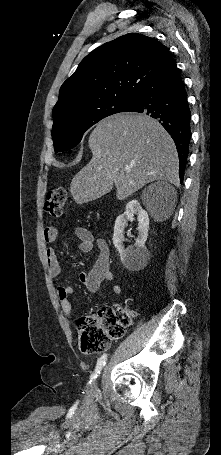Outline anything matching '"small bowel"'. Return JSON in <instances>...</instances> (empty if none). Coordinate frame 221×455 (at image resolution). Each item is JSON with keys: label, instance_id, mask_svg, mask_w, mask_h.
<instances>
[{"label": "small bowel", "instance_id": "1", "mask_svg": "<svg viewBox=\"0 0 221 455\" xmlns=\"http://www.w3.org/2000/svg\"><path fill=\"white\" fill-rule=\"evenodd\" d=\"M75 235L79 240L78 249L81 252H91L95 244L97 245L98 255L90 272L86 273L82 270V262L77 261L72 263L75 268L80 269L79 279L84 284L86 289L91 293H95L100 289L102 282H113L114 280L109 264V248L104 240H95L93 234L84 227H76ZM56 238L57 231L54 226H49L44 230V239L47 243L54 242ZM45 258L47 262L48 274L51 277H57L61 271L57 250L52 246L48 247L45 251ZM112 290L116 295H120L122 293V288L118 284H113ZM57 295L64 315L70 320L73 315L72 287L68 285L58 286Z\"/></svg>", "mask_w": 221, "mask_h": 455}]
</instances>
